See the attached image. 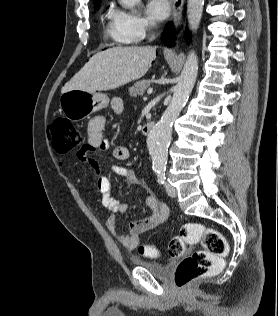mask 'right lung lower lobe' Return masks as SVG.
Returning <instances> with one entry per match:
<instances>
[{
	"label": "right lung lower lobe",
	"instance_id": "1",
	"mask_svg": "<svg viewBox=\"0 0 278 316\" xmlns=\"http://www.w3.org/2000/svg\"><path fill=\"white\" fill-rule=\"evenodd\" d=\"M174 33L173 24H168L167 28L164 30L162 34V41L165 45L171 46L172 45V35Z\"/></svg>",
	"mask_w": 278,
	"mask_h": 316
}]
</instances>
